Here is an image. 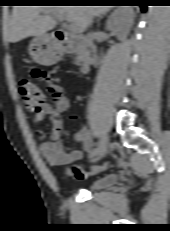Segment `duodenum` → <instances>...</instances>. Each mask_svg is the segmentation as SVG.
Segmentation results:
<instances>
[{
    "label": "duodenum",
    "mask_w": 170,
    "mask_h": 231,
    "mask_svg": "<svg viewBox=\"0 0 170 231\" xmlns=\"http://www.w3.org/2000/svg\"><path fill=\"white\" fill-rule=\"evenodd\" d=\"M58 47L65 53H77L80 71L86 73L91 65L98 62L95 44L85 38L76 37L64 30L54 32Z\"/></svg>",
    "instance_id": "duodenum-1"
}]
</instances>
